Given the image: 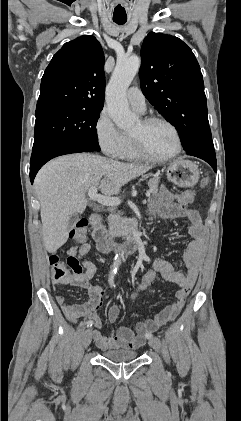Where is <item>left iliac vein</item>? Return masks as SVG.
<instances>
[{"mask_svg":"<svg viewBox=\"0 0 241 421\" xmlns=\"http://www.w3.org/2000/svg\"><path fill=\"white\" fill-rule=\"evenodd\" d=\"M149 345L157 352L161 350V342L157 337H153L149 340Z\"/></svg>","mask_w":241,"mask_h":421,"instance_id":"1","label":"left iliac vein"}]
</instances>
